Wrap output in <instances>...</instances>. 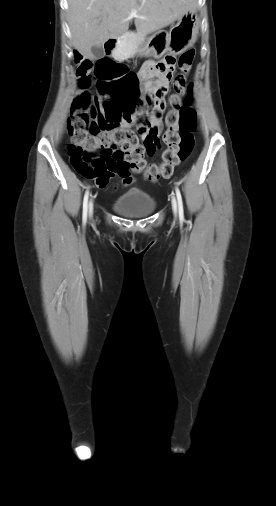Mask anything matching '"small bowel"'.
Segmentation results:
<instances>
[{"label": "small bowel", "instance_id": "small-bowel-1", "mask_svg": "<svg viewBox=\"0 0 276 506\" xmlns=\"http://www.w3.org/2000/svg\"><path fill=\"white\" fill-rule=\"evenodd\" d=\"M167 58L161 61H153L149 60L144 63L141 70V78L145 81L146 87L148 91H151L154 88H162L164 93L166 94L169 90L170 86V77L174 66L171 67L169 73H164L160 71L159 65L165 63ZM165 96V95H164ZM165 102L164 97L161 98L155 106L152 117H151V125L149 131L154 135H159L162 130V117L165 111ZM122 127H127V123H122ZM145 133H142L143 138L145 137ZM113 177H119L123 185H130L134 182V178L129 174L128 170L124 168L122 165V161L116 157L110 159L107 164V169L105 173L95 179V184L98 188L107 187L110 179Z\"/></svg>", "mask_w": 276, "mask_h": 506}]
</instances>
